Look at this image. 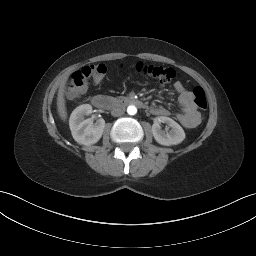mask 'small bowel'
Returning <instances> with one entry per match:
<instances>
[{"label":"small bowel","instance_id":"small-bowel-1","mask_svg":"<svg viewBox=\"0 0 256 256\" xmlns=\"http://www.w3.org/2000/svg\"><path fill=\"white\" fill-rule=\"evenodd\" d=\"M174 90L178 94V101L182 108V113L178 115V120L186 128L196 127L200 122V113L194 103L193 93L187 90L180 81L174 83ZM151 112L162 116L170 114L168 109L161 106L152 107Z\"/></svg>","mask_w":256,"mask_h":256}]
</instances>
